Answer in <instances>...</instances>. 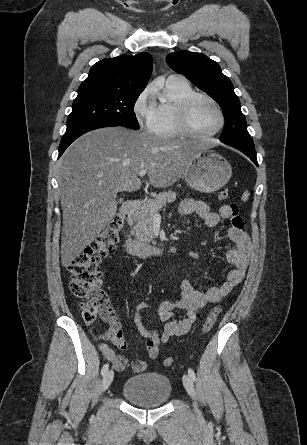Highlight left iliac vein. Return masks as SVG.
Masks as SVG:
<instances>
[{
	"mask_svg": "<svg viewBox=\"0 0 307 445\" xmlns=\"http://www.w3.org/2000/svg\"><path fill=\"white\" fill-rule=\"evenodd\" d=\"M183 384H184V387H185L186 391L188 392V394L194 400L193 406H194L195 412L197 413V415H200L197 403L195 401V391H194L193 381L189 375H187V374L183 375Z\"/></svg>",
	"mask_w": 307,
	"mask_h": 445,
	"instance_id": "left-iliac-vein-1",
	"label": "left iliac vein"
}]
</instances>
